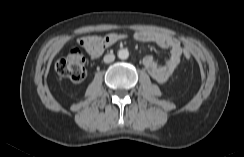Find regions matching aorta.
<instances>
[{
  "mask_svg": "<svg viewBox=\"0 0 244 157\" xmlns=\"http://www.w3.org/2000/svg\"><path fill=\"white\" fill-rule=\"evenodd\" d=\"M118 58L121 60H125L129 57V51L128 49H120L117 53Z\"/></svg>",
  "mask_w": 244,
  "mask_h": 157,
  "instance_id": "762f6f07",
  "label": "aorta"
}]
</instances>
